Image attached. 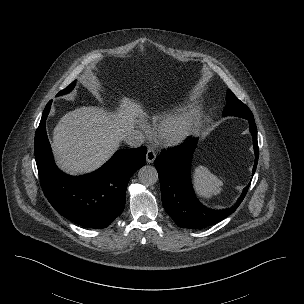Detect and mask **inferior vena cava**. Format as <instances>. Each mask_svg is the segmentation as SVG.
Returning <instances> with one entry per match:
<instances>
[{
    "label": "inferior vena cava",
    "mask_w": 304,
    "mask_h": 304,
    "mask_svg": "<svg viewBox=\"0 0 304 304\" xmlns=\"http://www.w3.org/2000/svg\"><path fill=\"white\" fill-rule=\"evenodd\" d=\"M125 141L130 147L137 148L144 143V136L140 131L132 130L128 132Z\"/></svg>",
    "instance_id": "obj_1"
}]
</instances>
